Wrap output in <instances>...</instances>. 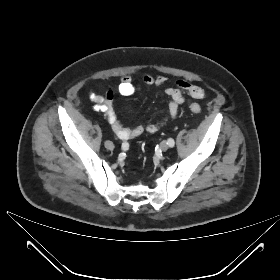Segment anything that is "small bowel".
Masks as SVG:
<instances>
[{"label": "small bowel", "instance_id": "small-bowel-1", "mask_svg": "<svg viewBox=\"0 0 280 280\" xmlns=\"http://www.w3.org/2000/svg\"><path fill=\"white\" fill-rule=\"evenodd\" d=\"M166 78L164 76H153L146 74L143 77V82L148 86H161L165 83ZM135 91V86L131 77L125 76L117 87V92L123 96H129ZM116 91L114 89H108L105 95H100L95 92L89 93L90 100L95 104V109L101 111L106 116L113 132L121 140H129L140 136L144 132L155 133L164 124L166 119L176 118L179 112V107L185 102V95L194 99H202L205 97V90L186 80H179L175 83V86L167 87L165 94L169 97L167 105L166 117L155 123H148L147 125H137L134 127L125 126L118 118L115 109L113 107V100Z\"/></svg>", "mask_w": 280, "mask_h": 280}]
</instances>
